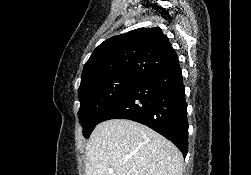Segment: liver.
Returning a JSON list of instances; mask_svg holds the SVG:
<instances>
[{
  "label": "liver",
  "instance_id": "1",
  "mask_svg": "<svg viewBox=\"0 0 251 175\" xmlns=\"http://www.w3.org/2000/svg\"><path fill=\"white\" fill-rule=\"evenodd\" d=\"M85 149L86 175H182L183 171L178 147L131 119L98 123Z\"/></svg>",
  "mask_w": 251,
  "mask_h": 175
}]
</instances>
